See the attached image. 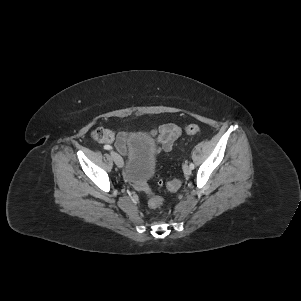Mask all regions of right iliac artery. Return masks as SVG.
<instances>
[{
    "mask_svg": "<svg viewBox=\"0 0 301 301\" xmlns=\"http://www.w3.org/2000/svg\"><path fill=\"white\" fill-rule=\"evenodd\" d=\"M104 149H105V150H110V149H112V147H111L110 145H105V146H104Z\"/></svg>",
    "mask_w": 301,
    "mask_h": 301,
    "instance_id": "82829eb1",
    "label": "right iliac artery"
}]
</instances>
